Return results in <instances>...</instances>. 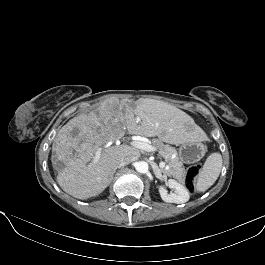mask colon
<instances>
[{
	"label": "colon",
	"mask_w": 265,
	"mask_h": 265,
	"mask_svg": "<svg viewBox=\"0 0 265 265\" xmlns=\"http://www.w3.org/2000/svg\"><path fill=\"white\" fill-rule=\"evenodd\" d=\"M200 169V165H192L186 171L185 184L189 192H193L195 189V182L200 172Z\"/></svg>",
	"instance_id": "5ec220e1"
}]
</instances>
